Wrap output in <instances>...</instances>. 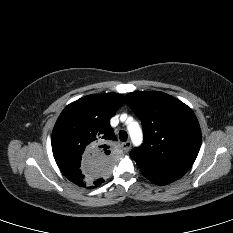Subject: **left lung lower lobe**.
Masks as SVG:
<instances>
[{
    "instance_id": "0a47b994",
    "label": "left lung lower lobe",
    "mask_w": 233,
    "mask_h": 233,
    "mask_svg": "<svg viewBox=\"0 0 233 233\" xmlns=\"http://www.w3.org/2000/svg\"><path fill=\"white\" fill-rule=\"evenodd\" d=\"M143 175L157 185L169 184L182 177L187 170L163 169L137 163Z\"/></svg>"
}]
</instances>
